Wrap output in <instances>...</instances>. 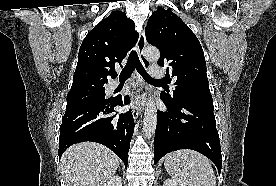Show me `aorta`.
Listing matches in <instances>:
<instances>
[{
    "label": "aorta",
    "mask_w": 276,
    "mask_h": 186,
    "mask_svg": "<svg viewBox=\"0 0 276 186\" xmlns=\"http://www.w3.org/2000/svg\"><path fill=\"white\" fill-rule=\"evenodd\" d=\"M144 55L149 61L156 62L160 58V52L155 47H147ZM157 126V109L153 98H150L145 107L143 119V134L146 138H151Z\"/></svg>",
    "instance_id": "762f6f07"
}]
</instances>
